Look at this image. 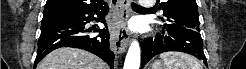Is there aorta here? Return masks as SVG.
Instances as JSON below:
<instances>
[{"label":"aorta","instance_id":"obj_1","mask_svg":"<svg viewBox=\"0 0 246 69\" xmlns=\"http://www.w3.org/2000/svg\"><path fill=\"white\" fill-rule=\"evenodd\" d=\"M141 52L139 43L133 41L125 58L124 69H139Z\"/></svg>","mask_w":246,"mask_h":69}]
</instances>
